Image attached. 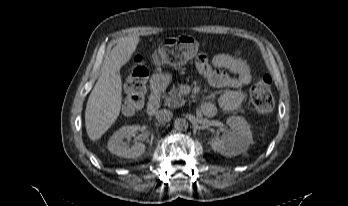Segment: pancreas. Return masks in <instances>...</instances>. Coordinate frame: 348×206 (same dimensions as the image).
Returning <instances> with one entry per match:
<instances>
[{"mask_svg":"<svg viewBox=\"0 0 348 206\" xmlns=\"http://www.w3.org/2000/svg\"><path fill=\"white\" fill-rule=\"evenodd\" d=\"M185 103L184 98L182 97V94L180 92V88H172L167 95L164 97V105L171 107V108H177Z\"/></svg>","mask_w":348,"mask_h":206,"instance_id":"1","label":"pancreas"}]
</instances>
